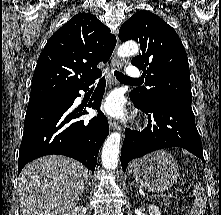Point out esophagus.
I'll return each mask as SVG.
<instances>
[{"label":"esophagus","mask_w":221,"mask_h":215,"mask_svg":"<svg viewBox=\"0 0 221 215\" xmlns=\"http://www.w3.org/2000/svg\"><path fill=\"white\" fill-rule=\"evenodd\" d=\"M119 43H120V41H119V38L117 35L116 49L119 47ZM122 65H123L122 59L116 57L114 59L113 63L106 68L105 75H106V79H107L109 85L113 84V82H114L113 68L120 69L122 67ZM109 127L111 130H120L121 129L120 126L118 125V123L113 119L109 120Z\"/></svg>","instance_id":"1"}]
</instances>
